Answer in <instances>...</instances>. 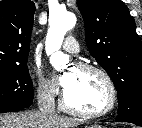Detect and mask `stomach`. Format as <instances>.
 <instances>
[{"label":"stomach","instance_id":"stomach-1","mask_svg":"<svg viewBox=\"0 0 142 128\" xmlns=\"http://www.w3.org/2000/svg\"><path fill=\"white\" fill-rule=\"evenodd\" d=\"M90 128H102V127L99 125H92Z\"/></svg>","mask_w":142,"mask_h":128}]
</instances>
